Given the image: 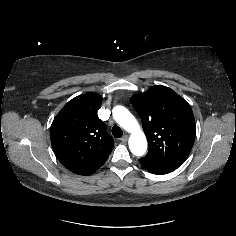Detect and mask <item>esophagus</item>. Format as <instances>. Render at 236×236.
Listing matches in <instances>:
<instances>
[{
  "label": "esophagus",
  "instance_id": "esophagus-1",
  "mask_svg": "<svg viewBox=\"0 0 236 236\" xmlns=\"http://www.w3.org/2000/svg\"><path fill=\"white\" fill-rule=\"evenodd\" d=\"M122 142H126L128 140V135L125 134L121 139Z\"/></svg>",
  "mask_w": 236,
  "mask_h": 236
}]
</instances>
